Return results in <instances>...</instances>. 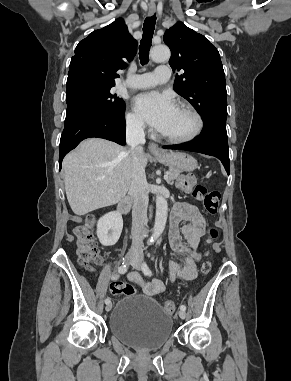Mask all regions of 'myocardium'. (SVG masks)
<instances>
[{
  "mask_svg": "<svg viewBox=\"0 0 291 381\" xmlns=\"http://www.w3.org/2000/svg\"><path fill=\"white\" fill-rule=\"evenodd\" d=\"M177 107H180V108H183V109L189 111L194 116L195 121H196L194 130L190 134H188L186 136H182V137L169 136V135H166L163 133H160V136L162 138H164L165 140L170 141L172 143H188V142H191V141L195 140L203 131V128H204L203 117H202L201 113L192 104H190L188 102H179L177 104Z\"/></svg>",
  "mask_w": 291,
  "mask_h": 381,
  "instance_id": "f54148a6",
  "label": "myocardium"
}]
</instances>
